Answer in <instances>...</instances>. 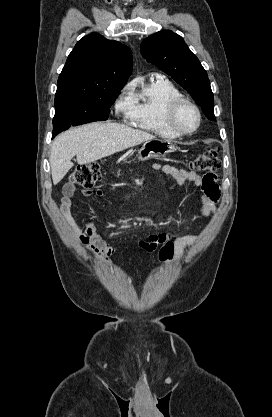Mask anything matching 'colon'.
Instances as JSON below:
<instances>
[{
	"instance_id": "1",
	"label": "colon",
	"mask_w": 272,
	"mask_h": 417,
	"mask_svg": "<svg viewBox=\"0 0 272 417\" xmlns=\"http://www.w3.org/2000/svg\"><path fill=\"white\" fill-rule=\"evenodd\" d=\"M191 171L205 172L213 174L220 168V157L217 149L207 151L188 163ZM102 177L101 165L99 163H87L78 165L70 175V181L73 184L89 188L97 183ZM140 248L146 253H152L158 249L159 259L163 263L172 261L175 254V243L168 240L154 248L152 245H140Z\"/></svg>"
}]
</instances>
